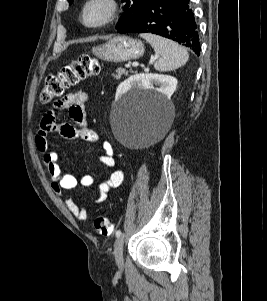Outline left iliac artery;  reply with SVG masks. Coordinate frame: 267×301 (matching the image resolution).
Segmentation results:
<instances>
[{
  "mask_svg": "<svg viewBox=\"0 0 267 301\" xmlns=\"http://www.w3.org/2000/svg\"><path fill=\"white\" fill-rule=\"evenodd\" d=\"M121 235V231L120 230H117L116 231V237H119Z\"/></svg>",
  "mask_w": 267,
  "mask_h": 301,
  "instance_id": "left-iliac-artery-1",
  "label": "left iliac artery"
}]
</instances>
